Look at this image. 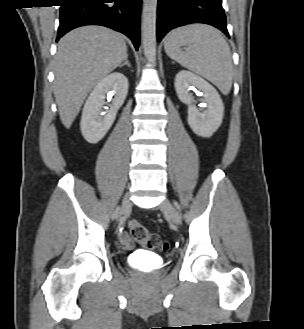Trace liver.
<instances>
[{
	"label": "liver",
	"mask_w": 304,
	"mask_h": 329,
	"mask_svg": "<svg viewBox=\"0 0 304 329\" xmlns=\"http://www.w3.org/2000/svg\"><path fill=\"white\" fill-rule=\"evenodd\" d=\"M127 56L123 35L84 26L62 37L54 58V95L62 124L70 128L88 93Z\"/></svg>",
	"instance_id": "6515ba94"
}]
</instances>
